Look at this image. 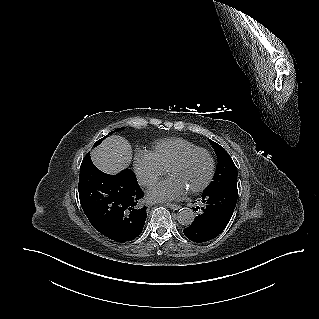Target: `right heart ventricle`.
<instances>
[{
  "mask_svg": "<svg viewBox=\"0 0 319 319\" xmlns=\"http://www.w3.org/2000/svg\"><path fill=\"white\" fill-rule=\"evenodd\" d=\"M196 147L198 146L188 139L174 137L155 142L150 153L156 162L166 170L181 154Z\"/></svg>",
  "mask_w": 319,
  "mask_h": 319,
  "instance_id": "right-heart-ventricle-1",
  "label": "right heart ventricle"
}]
</instances>
